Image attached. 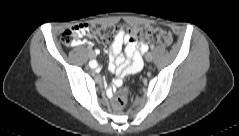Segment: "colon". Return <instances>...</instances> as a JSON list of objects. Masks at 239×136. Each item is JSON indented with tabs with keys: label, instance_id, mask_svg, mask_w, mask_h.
Returning <instances> with one entry per match:
<instances>
[{
	"label": "colon",
	"instance_id": "5ec220e1",
	"mask_svg": "<svg viewBox=\"0 0 239 136\" xmlns=\"http://www.w3.org/2000/svg\"><path fill=\"white\" fill-rule=\"evenodd\" d=\"M118 33L117 26L111 24L107 26L78 24L75 25L62 34L61 40L67 46L75 45L78 38L82 35H95L104 41L113 40ZM130 37L134 40L141 41H156L164 46L172 44V36L169 32L151 27V26H136L129 29ZM127 102V90L119 84L116 94L112 98L111 104L115 111H120L124 108Z\"/></svg>",
	"mask_w": 239,
	"mask_h": 136
}]
</instances>
